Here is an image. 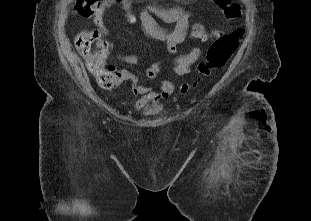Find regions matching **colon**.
<instances>
[{
    "instance_id": "1",
    "label": "colon",
    "mask_w": 311,
    "mask_h": 221,
    "mask_svg": "<svg viewBox=\"0 0 311 221\" xmlns=\"http://www.w3.org/2000/svg\"><path fill=\"white\" fill-rule=\"evenodd\" d=\"M118 0H80L72 1V17H80L86 22L88 17H97L102 4H117ZM219 8L226 13L228 20H237L243 16L242 2L234 0H217ZM87 4V5H86ZM110 9L108 6L105 8ZM190 32L197 40L203 41L206 38L204 27L201 23L195 22L190 26ZM230 36L220 35L217 41L213 42L208 50L206 59L197 67V77L191 83H184L179 87V93L185 94L192 87L197 86L203 77L210 76L213 70L222 68L238 49L240 38L244 29H236L230 32ZM75 46L83 56L86 66L97 81L100 87H108L114 84L116 77L110 67L105 64L107 60L109 45L96 30H84L75 38Z\"/></svg>"
}]
</instances>
